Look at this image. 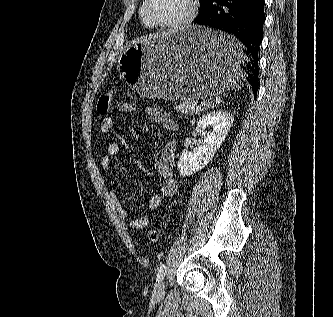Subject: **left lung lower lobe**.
Segmentation results:
<instances>
[{
  "instance_id": "1",
  "label": "left lung lower lobe",
  "mask_w": 333,
  "mask_h": 317,
  "mask_svg": "<svg viewBox=\"0 0 333 317\" xmlns=\"http://www.w3.org/2000/svg\"><path fill=\"white\" fill-rule=\"evenodd\" d=\"M264 22V0H210L205 10L194 20L195 24L232 34L245 45L248 60L243 69L254 98L259 85L258 51L263 39ZM237 50L227 43L214 49V54L237 60L240 58Z\"/></svg>"
}]
</instances>
